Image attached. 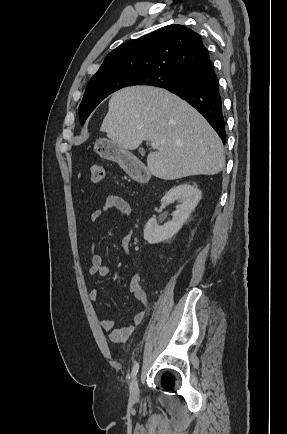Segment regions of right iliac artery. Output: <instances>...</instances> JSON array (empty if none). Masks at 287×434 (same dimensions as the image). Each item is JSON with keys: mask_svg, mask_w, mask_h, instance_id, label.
Wrapping results in <instances>:
<instances>
[{"mask_svg": "<svg viewBox=\"0 0 287 434\" xmlns=\"http://www.w3.org/2000/svg\"><path fill=\"white\" fill-rule=\"evenodd\" d=\"M138 370H139V363L136 362V363L134 364V366H133V369H132V374H131L132 377H135V376H136Z\"/></svg>", "mask_w": 287, "mask_h": 434, "instance_id": "1", "label": "right iliac artery"}]
</instances>
